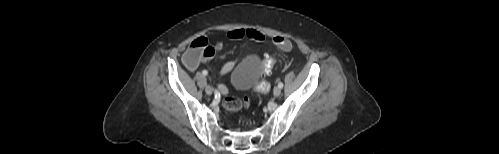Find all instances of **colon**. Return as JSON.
I'll use <instances>...</instances> for the list:
<instances>
[{
    "mask_svg": "<svg viewBox=\"0 0 499 154\" xmlns=\"http://www.w3.org/2000/svg\"><path fill=\"white\" fill-rule=\"evenodd\" d=\"M274 44L278 47L280 51L288 52L293 48L290 40L285 37L277 36L273 39ZM214 55V48L209 45L208 41L204 37H199L194 39L188 46L184 54V62L188 67L197 66L201 60H207L212 58ZM275 62L273 58H265L262 62L263 70L265 73H269ZM270 85L265 81H259L255 86L254 90L262 95L268 93ZM249 99L243 98L239 99L236 97H226L224 100V107L229 111H239L241 109L247 108L249 106Z\"/></svg>",
    "mask_w": 499,
    "mask_h": 154,
    "instance_id": "colon-1",
    "label": "colon"
}]
</instances>
